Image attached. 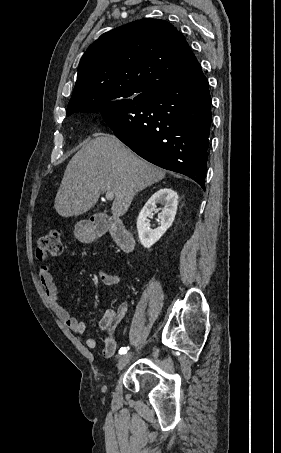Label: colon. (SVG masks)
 <instances>
[{"mask_svg":"<svg viewBox=\"0 0 281 453\" xmlns=\"http://www.w3.org/2000/svg\"><path fill=\"white\" fill-rule=\"evenodd\" d=\"M61 228L59 226H49L46 234L40 241L37 261L45 262L50 257H59L62 253L60 241Z\"/></svg>","mask_w":281,"mask_h":453,"instance_id":"colon-1","label":"colon"}]
</instances>
